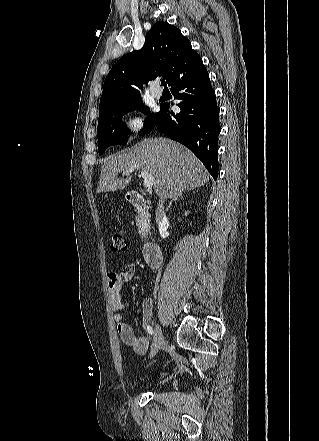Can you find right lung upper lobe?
<instances>
[{
  "instance_id": "right-lung-upper-lobe-1",
  "label": "right lung upper lobe",
  "mask_w": 319,
  "mask_h": 441,
  "mask_svg": "<svg viewBox=\"0 0 319 441\" xmlns=\"http://www.w3.org/2000/svg\"><path fill=\"white\" fill-rule=\"evenodd\" d=\"M201 58L179 29L157 22L142 49L117 61L105 78L99 110L140 100L144 84L163 76L170 85Z\"/></svg>"
}]
</instances>
